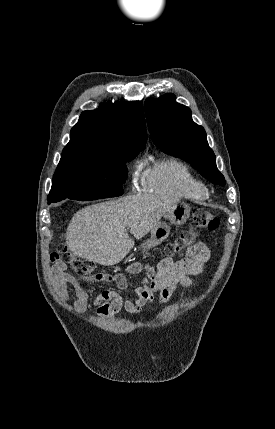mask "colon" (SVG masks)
<instances>
[{
	"label": "colon",
	"mask_w": 275,
	"mask_h": 429,
	"mask_svg": "<svg viewBox=\"0 0 275 429\" xmlns=\"http://www.w3.org/2000/svg\"><path fill=\"white\" fill-rule=\"evenodd\" d=\"M192 228L182 232L179 237L170 242L166 248L167 255H174L183 250L193 247L196 244V239L199 230L214 231L219 226V219L210 210L197 207L193 210L192 214ZM60 255L69 263V265L77 272L92 276L94 272V263L75 256L71 253L68 246L62 245L59 254H55L52 258L54 261L59 260Z\"/></svg>",
	"instance_id": "1"
}]
</instances>
